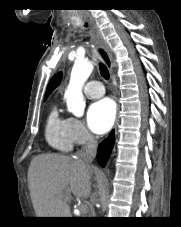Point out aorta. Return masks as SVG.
Returning <instances> with one entry per match:
<instances>
[{
	"mask_svg": "<svg viewBox=\"0 0 181 227\" xmlns=\"http://www.w3.org/2000/svg\"><path fill=\"white\" fill-rule=\"evenodd\" d=\"M93 68V63L87 60H77L73 65L69 85L64 97L67 103V110L76 117L84 115L86 102L82 88L92 73Z\"/></svg>",
	"mask_w": 181,
	"mask_h": 227,
	"instance_id": "obj_1",
	"label": "aorta"
}]
</instances>
